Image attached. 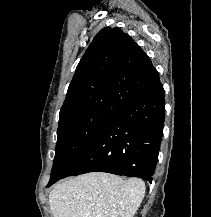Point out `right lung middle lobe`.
<instances>
[{
  "mask_svg": "<svg viewBox=\"0 0 211 217\" xmlns=\"http://www.w3.org/2000/svg\"><path fill=\"white\" fill-rule=\"evenodd\" d=\"M117 113L99 111L60 123L50 180L65 174L96 141Z\"/></svg>",
  "mask_w": 211,
  "mask_h": 217,
  "instance_id": "dd1d6c3e",
  "label": "right lung middle lobe"
}]
</instances>
